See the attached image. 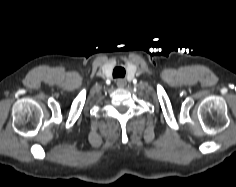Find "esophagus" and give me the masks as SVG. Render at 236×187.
<instances>
[{"label":"esophagus","mask_w":236,"mask_h":187,"mask_svg":"<svg viewBox=\"0 0 236 187\" xmlns=\"http://www.w3.org/2000/svg\"><path fill=\"white\" fill-rule=\"evenodd\" d=\"M116 85H117L119 88H123V87L125 86V81H124V79H122V78L116 79Z\"/></svg>","instance_id":"1"}]
</instances>
